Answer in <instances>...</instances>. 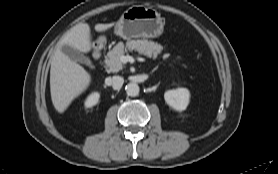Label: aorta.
Instances as JSON below:
<instances>
[{"mask_svg": "<svg viewBox=\"0 0 278 174\" xmlns=\"http://www.w3.org/2000/svg\"><path fill=\"white\" fill-rule=\"evenodd\" d=\"M140 88L136 83H129L126 86V92L129 96L135 97L139 94Z\"/></svg>", "mask_w": 278, "mask_h": 174, "instance_id": "obj_1", "label": "aorta"}]
</instances>
